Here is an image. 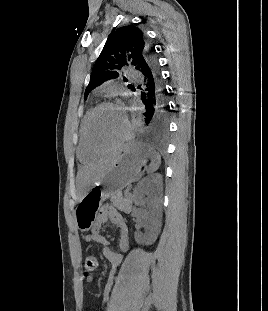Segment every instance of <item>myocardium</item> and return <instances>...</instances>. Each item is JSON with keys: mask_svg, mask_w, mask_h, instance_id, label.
Masks as SVG:
<instances>
[{"mask_svg": "<svg viewBox=\"0 0 268 311\" xmlns=\"http://www.w3.org/2000/svg\"><path fill=\"white\" fill-rule=\"evenodd\" d=\"M105 107H115L118 108L115 104H113L112 102L109 101H104L100 104H98L97 106H95L88 114L86 120H85V124H84V139H85V143L88 147V149L93 152L94 154L100 155V154H105L108 152H111L117 148H119L121 145H123L130 137L131 135V124L129 122V119L127 118V116L123 114L124 116V120H125V124H126V129L125 132L123 134V136L112 146L107 147V148H98L96 147L92 140H91V134H90V129H91V123L92 120L94 118V116L96 115V113L98 111H100L101 109L105 108Z\"/></svg>", "mask_w": 268, "mask_h": 311, "instance_id": "f54148a6", "label": "myocardium"}]
</instances>
